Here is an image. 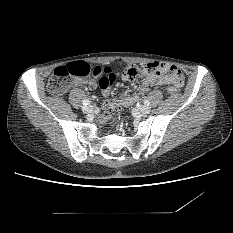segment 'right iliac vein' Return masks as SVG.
I'll return each mask as SVG.
<instances>
[{
	"mask_svg": "<svg viewBox=\"0 0 233 233\" xmlns=\"http://www.w3.org/2000/svg\"><path fill=\"white\" fill-rule=\"evenodd\" d=\"M93 110H94L93 106H85V107L82 108V111L84 113H92Z\"/></svg>",
	"mask_w": 233,
	"mask_h": 233,
	"instance_id": "1",
	"label": "right iliac vein"
}]
</instances>
